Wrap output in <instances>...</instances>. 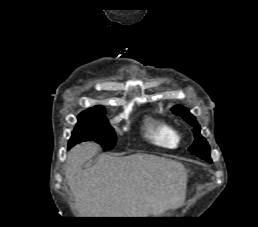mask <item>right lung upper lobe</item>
Returning a JSON list of instances; mask_svg holds the SVG:
<instances>
[{
	"label": "right lung upper lobe",
	"instance_id": "cb5924a9",
	"mask_svg": "<svg viewBox=\"0 0 258 227\" xmlns=\"http://www.w3.org/2000/svg\"><path fill=\"white\" fill-rule=\"evenodd\" d=\"M89 110H104L101 106H96L95 108H91Z\"/></svg>",
	"mask_w": 258,
	"mask_h": 227
}]
</instances>
